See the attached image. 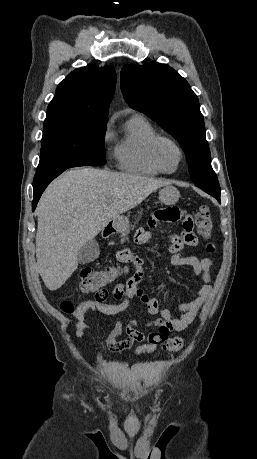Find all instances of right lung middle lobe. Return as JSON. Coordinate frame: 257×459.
I'll return each mask as SVG.
<instances>
[{
	"label": "right lung middle lobe",
	"mask_w": 257,
	"mask_h": 459,
	"mask_svg": "<svg viewBox=\"0 0 257 459\" xmlns=\"http://www.w3.org/2000/svg\"><path fill=\"white\" fill-rule=\"evenodd\" d=\"M40 162L37 170L82 163H106L104 137L106 123L60 115H47L43 125Z\"/></svg>",
	"instance_id": "dd1d6c3e"
}]
</instances>
